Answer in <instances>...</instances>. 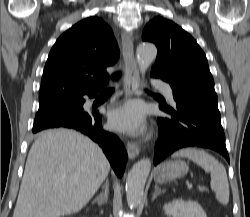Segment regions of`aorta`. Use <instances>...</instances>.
Listing matches in <instances>:
<instances>
[{"instance_id": "aorta-1", "label": "aorta", "mask_w": 250, "mask_h": 217, "mask_svg": "<svg viewBox=\"0 0 250 217\" xmlns=\"http://www.w3.org/2000/svg\"><path fill=\"white\" fill-rule=\"evenodd\" d=\"M157 56L155 45L142 43L137 47L136 57L141 73H145ZM151 170V160L144 158L138 161L129 171L126 179V199L128 206L136 208L143 196L145 183Z\"/></svg>"}]
</instances>
